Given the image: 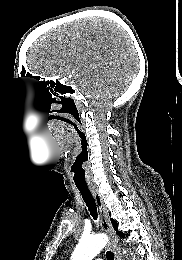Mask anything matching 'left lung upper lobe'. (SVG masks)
<instances>
[{"mask_svg": "<svg viewBox=\"0 0 182 260\" xmlns=\"http://www.w3.org/2000/svg\"><path fill=\"white\" fill-rule=\"evenodd\" d=\"M111 222H112V225H113L115 231L117 232V234L122 236V237H124V234L122 232L118 231V229H117L118 228L117 222L115 220H113V219H111Z\"/></svg>", "mask_w": 182, "mask_h": 260, "instance_id": "left-lung-upper-lobe-1", "label": "left lung upper lobe"}]
</instances>
